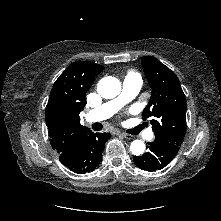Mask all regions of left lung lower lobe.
Instances as JSON below:
<instances>
[{"label":"left lung lower lobe","instance_id":"obj_1","mask_svg":"<svg viewBox=\"0 0 221 221\" xmlns=\"http://www.w3.org/2000/svg\"><path fill=\"white\" fill-rule=\"evenodd\" d=\"M149 151L142 156H134L133 160L137 167L149 172L163 169L175 157L179 146L154 140L148 142Z\"/></svg>","mask_w":221,"mask_h":221}]
</instances>
